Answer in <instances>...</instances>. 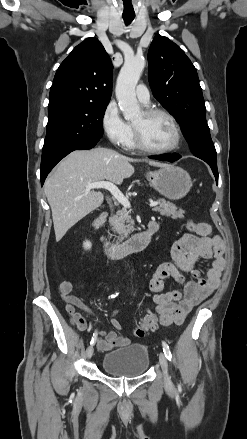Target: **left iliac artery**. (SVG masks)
Instances as JSON below:
<instances>
[{"label":"left iliac artery","instance_id":"left-iliac-artery-1","mask_svg":"<svg viewBox=\"0 0 247 439\" xmlns=\"http://www.w3.org/2000/svg\"><path fill=\"white\" fill-rule=\"evenodd\" d=\"M162 346H163V351H164L166 358L168 360H171L172 354H171V351L169 349V346L165 342H162Z\"/></svg>","mask_w":247,"mask_h":439}]
</instances>
